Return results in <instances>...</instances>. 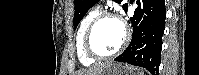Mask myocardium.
Instances as JSON below:
<instances>
[{
    "label": "myocardium",
    "mask_w": 199,
    "mask_h": 75,
    "mask_svg": "<svg viewBox=\"0 0 199 75\" xmlns=\"http://www.w3.org/2000/svg\"><path fill=\"white\" fill-rule=\"evenodd\" d=\"M105 19H113L118 21L123 28L124 35L121 44L114 51H112L109 54H99L92 48L91 39H92V34L97 25ZM129 37H130L129 30L119 16L110 12H101L93 18V20L90 22L89 26L87 27L84 33V38H83L84 50L90 58L96 61L106 60L115 57L116 55L121 53L128 44Z\"/></svg>",
    "instance_id": "f54148a6"
}]
</instances>
